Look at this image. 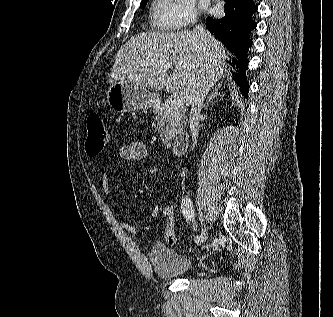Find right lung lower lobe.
<instances>
[{
	"mask_svg": "<svg viewBox=\"0 0 333 317\" xmlns=\"http://www.w3.org/2000/svg\"><path fill=\"white\" fill-rule=\"evenodd\" d=\"M225 2V16L221 19L207 17L206 28L236 55L237 59L233 61L236 73L233 79L247 98L249 88L246 78L247 50L252 45L249 33L257 25L251 19L257 11V6L253 0H225Z\"/></svg>",
	"mask_w": 333,
	"mask_h": 317,
	"instance_id": "right-lung-lower-lobe-1",
	"label": "right lung lower lobe"
}]
</instances>
